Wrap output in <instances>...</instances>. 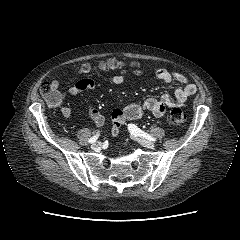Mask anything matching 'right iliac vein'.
Here are the masks:
<instances>
[{
	"label": "right iliac vein",
	"mask_w": 240,
	"mask_h": 240,
	"mask_svg": "<svg viewBox=\"0 0 240 240\" xmlns=\"http://www.w3.org/2000/svg\"><path fill=\"white\" fill-rule=\"evenodd\" d=\"M101 147V143L100 142H96V143H93L92 145H91V148L93 149V150H97V149H99Z\"/></svg>",
	"instance_id": "obj_1"
}]
</instances>
